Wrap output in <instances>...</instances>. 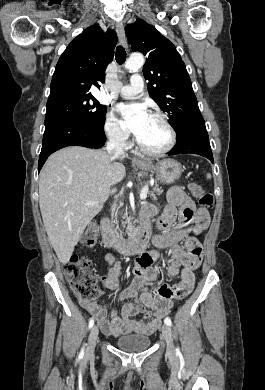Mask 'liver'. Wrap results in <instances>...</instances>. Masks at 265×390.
<instances>
[{
  "instance_id": "liver-1",
  "label": "liver",
  "mask_w": 265,
  "mask_h": 390,
  "mask_svg": "<svg viewBox=\"0 0 265 390\" xmlns=\"http://www.w3.org/2000/svg\"><path fill=\"white\" fill-rule=\"evenodd\" d=\"M124 158L105 150L69 146L46 161L39 178V205L61 263H68L86 226L111 194L110 188L125 177Z\"/></svg>"
}]
</instances>
